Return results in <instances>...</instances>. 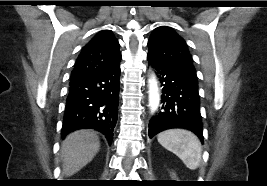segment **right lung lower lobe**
Segmentation results:
<instances>
[{
  "label": "right lung lower lobe",
  "mask_w": 267,
  "mask_h": 186,
  "mask_svg": "<svg viewBox=\"0 0 267 186\" xmlns=\"http://www.w3.org/2000/svg\"><path fill=\"white\" fill-rule=\"evenodd\" d=\"M120 65L71 77L62 136L77 129H95L109 144L118 116Z\"/></svg>",
  "instance_id": "right-lung-lower-lobe-1"
}]
</instances>
